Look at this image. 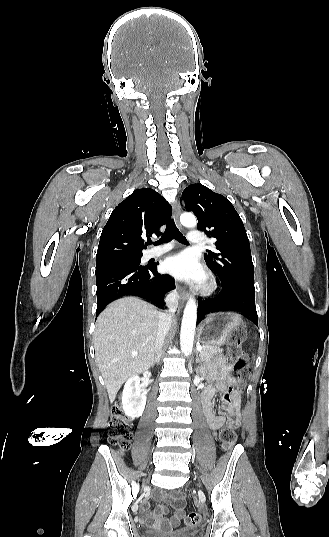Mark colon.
<instances>
[{"mask_svg": "<svg viewBox=\"0 0 329 537\" xmlns=\"http://www.w3.org/2000/svg\"><path fill=\"white\" fill-rule=\"evenodd\" d=\"M229 356L235 361V372L242 384L248 377L251 363L250 356L243 352L239 340L233 342L228 348ZM236 422H228L219 430V440L226 450L233 448L236 441ZM132 422L123 414L121 402H116L112 407V416L109 422L108 440L111 444L118 446L121 450H127L132 442ZM201 522V515L198 512H190L185 523L188 527L197 526Z\"/></svg>", "mask_w": 329, "mask_h": 537, "instance_id": "1", "label": "colon"}]
</instances>
